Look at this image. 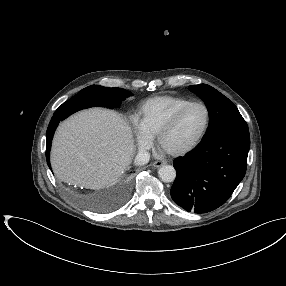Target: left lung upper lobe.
<instances>
[{"label": "left lung upper lobe", "instance_id": "1", "mask_svg": "<svg viewBox=\"0 0 286 286\" xmlns=\"http://www.w3.org/2000/svg\"><path fill=\"white\" fill-rule=\"evenodd\" d=\"M189 90L203 99L209 112L210 122L204 137L222 130L248 129L234 103L215 88L199 84L189 86Z\"/></svg>", "mask_w": 286, "mask_h": 286}]
</instances>
